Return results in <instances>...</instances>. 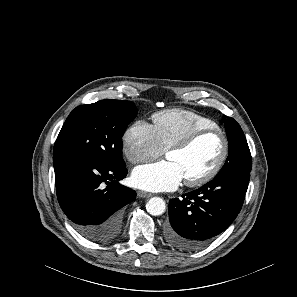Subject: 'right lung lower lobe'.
<instances>
[{
    "label": "right lung lower lobe",
    "mask_w": 297,
    "mask_h": 297,
    "mask_svg": "<svg viewBox=\"0 0 297 297\" xmlns=\"http://www.w3.org/2000/svg\"><path fill=\"white\" fill-rule=\"evenodd\" d=\"M57 198L75 229L97 243L115 239L121 228L122 207L136 192L118 181L126 165L112 166L80 155L53 157Z\"/></svg>",
    "instance_id": "right-lung-lower-lobe-1"
}]
</instances>
